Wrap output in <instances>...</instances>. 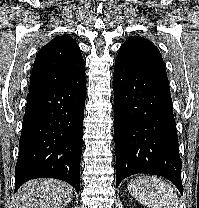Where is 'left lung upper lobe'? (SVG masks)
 <instances>
[{
  "mask_svg": "<svg viewBox=\"0 0 199 208\" xmlns=\"http://www.w3.org/2000/svg\"><path fill=\"white\" fill-rule=\"evenodd\" d=\"M117 58L128 61L133 66L168 80L164 61L157 47L148 39L130 37L121 47Z\"/></svg>",
  "mask_w": 199,
  "mask_h": 208,
  "instance_id": "5c2ea615",
  "label": "left lung upper lobe"
}]
</instances>
